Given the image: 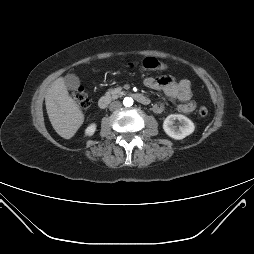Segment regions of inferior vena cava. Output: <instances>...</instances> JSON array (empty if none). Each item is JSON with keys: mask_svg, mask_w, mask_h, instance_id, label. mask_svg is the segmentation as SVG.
Wrapping results in <instances>:
<instances>
[{"mask_svg": "<svg viewBox=\"0 0 254 254\" xmlns=\"http://www.w3.org/2000/svg\"><path fill=\"white\" fill-rule=\"evenodd\" d=\"M121 107V103L119 101H114L109 105L110 111L117 110Z\"/></svg>", "mask_w": 254, "mask_h": 254, "instance_id": "obj_1", "label": "inferior vena cava"}]
</instances>
